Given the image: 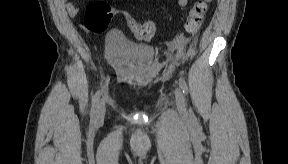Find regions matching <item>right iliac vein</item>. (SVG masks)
Returning a JSON list of instances; mask_svg holds the SVG:
<instances>
[{"instance_id": "63e3f726", "label": "right iliac vein", "mask_w": 288, "mask_h": 164, "mask_svg": "<svg viewBox=\"0 0 288 164\" xmlns=\"http://www.w3.org/2000/svg\"><path fill=\"white\" fill-rule=\"evenodd\" d=\"M105 115V103L104 101H101L99 108H98V113H97V120H102Z\"/></svg>"}]
</instances>
